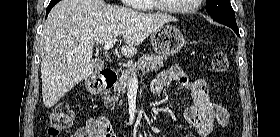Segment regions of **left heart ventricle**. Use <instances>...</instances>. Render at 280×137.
<instances>
[{
    "mask_svg": "<svg viewBox=\"0 0 280 137\" xmlns=\"http://www.w3.org/2000/svg\"><path fill=\"white\" fill-rule=\"evenodd\" d=\"M167 6L172 8H178L182 6H187L193 3V0H164Z\"/></svg>",
    "mask_w": 280,
    "mask_h": 137,
    "instance_id": "b2bd125f",
    "label": "left heart ventricle"
}]
</instances>
